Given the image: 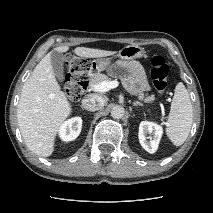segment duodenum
<instances>
[{
  "label": "duodenum",
  "instance_id": "410a0bca",
  "mask_svg": "<svg viewBox=\"0 0 213 213\" xmlns=\"http://www.w3.org/2000/svg\"><path fill=\"white\" fill-rule=\"evenodd\" d=\"M88 84H89V78H87V79H86V83H85V90L87 89Z\"/></svg>",
  "mask_w": 213,
  "mask_h": 213
}]
</instances>
